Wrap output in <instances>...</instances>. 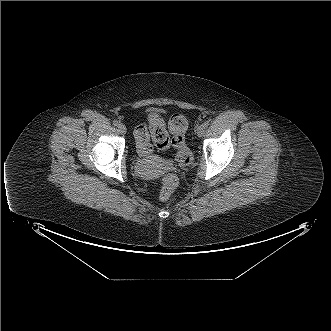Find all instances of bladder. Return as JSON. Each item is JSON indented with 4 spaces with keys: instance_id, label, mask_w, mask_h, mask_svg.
Wrapping results in <instances>:
<instances>
[{
    "instance_id": "31cf9c89",
    "label": "bladder",
    "mask_w": 331,
    "mask_h": 331,
    "mask_svg": "<svg viewBox=\"0 0 331 331\" xmlns=\"http://www.w3.org/2000/svg\"><path fill=\"white\" fill-rule=\"evenodd\" d=\"M157 160V157L156 156H151L147 159L144 160L145 163H150V162H153V161H156Z\"/></svg>"
}]
</instances>
